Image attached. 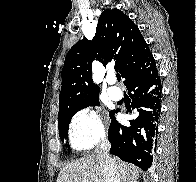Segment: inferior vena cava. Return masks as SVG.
<instances>
[{
    "instance_id": "obj_1",
    "label": "inferior vena cava",
    "mask_w": 196,
    "mask_h": 182,
    "mask_svg": "<svg viewBox=\"0 0 196 182\" xmlns=\"http://www.w3.org/2000/svg\"><path fill=\"white\" fill-rule=\"evenodd\" d=\"M111 148L110 142L102 138L96 145V155L100 159V165L103 173V182H120L119 172L115 161L109 155Z\"/></svg>"
}]
</instances>
